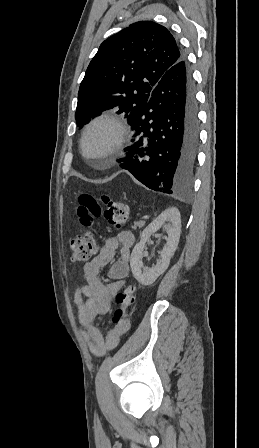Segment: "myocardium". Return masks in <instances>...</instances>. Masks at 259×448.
Instances as JSON below:
<instances>
[{
    "label": "myocardium",
    "instance_id": "myocardium-1",
    "mask_svg": "<svg viewBox=\"0 0 259 448\" xmlns=\"http://www.w3.org/2000/svg\"><path fill=\"white\" fill-rule=\"evenodd\" d=\"M96 126H108L112 130L111 139L103 149V158L104 160L113 162L124 140L125 126L120 118L112 114L104 113L97 115L84 126L79 140L80 155L84 160H87L85 155V140L91 129Z\"/></svg>",
    "mask_w": 259,
    "mask_h": 448
}]
</instances>
